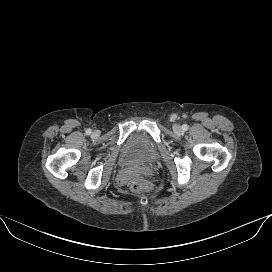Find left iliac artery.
<instances>
[{
  "mask_svg": "<svg viewBox=\"0 0 272 272\" xmlns=\"http://www.w3.org/2000/svg\"><path fill=\"white\" fill-rule=\"evenodd\" d=\"M182 130L187 131L188 130V125H186V124L182 125Z\"/></svg>",
  "mask_w": 272,
  "mask_h": 272,
  "instance_id": "obj_1",
  "label": "left iliac artery"
}]
</instances>
